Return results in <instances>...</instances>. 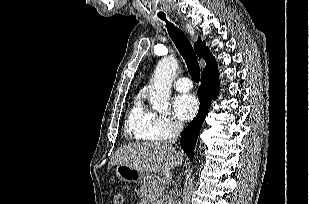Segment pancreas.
I'll use <instances>...</instances> for the list:
<instances>
[{
  "instance_id": "pancreas-1",
  "label": "pancreas",
  "mask_w": 309,
  "mask_h": 204,
  "mask_svg": "<svg viewBox=\"0 0 309 204\" xmlns=\"http://www.w3.org/2000/svg\"><path fill=\"white\" fill-rule=\"evenodd\" d=\"M165 184L166 181L163 178L157 175H149L140 188L142 196L141 204H154L153 202L162 196Z\"/></svg>"
}]
</instances>
